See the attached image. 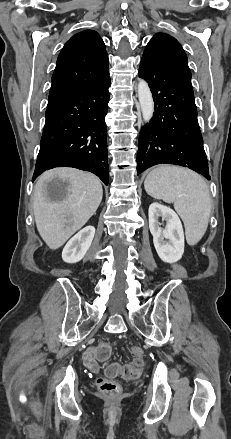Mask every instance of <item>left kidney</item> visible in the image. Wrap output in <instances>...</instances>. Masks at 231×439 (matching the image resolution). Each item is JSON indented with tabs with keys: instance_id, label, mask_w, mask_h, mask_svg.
<instances>
[{
	"instance_id": "left-kidney-1",
	"label": "left kidney",
	"mask_w": 231,
	"mask_h": 439,
	"mask_svg": "<svg viewBox=\"0 0 231 439\" xmlns=\"http://www.w3.org/2000/svg\"><path fill=\"white\" fill-rule=\"evenodd\" d=\"M148 216L158 256L166 263L179 261L184 253V232L178 215L171 208L154 202L149 206ZM160 217L166 221L165 229L160 227Z\"/></svg>"
}]
</instances>
